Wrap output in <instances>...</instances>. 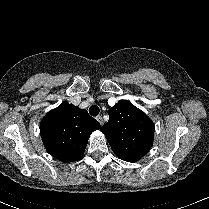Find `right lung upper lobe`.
<instances>
[{
  "label": "right lung upper lobe",
  "instance_id": "right-lung-upper-lobe-1",
  "mask_svg": "<svg viewBox=\"0 0 209 209\" xmlns=\"http://www.w3.org/2000/svg\"><path fill=\"white\" fill-rule=\"evenodd\" d=\"M98 129L100 124L86 110L62 103L43 118L40 134L49 154L68 163L82 157L90 134Z\"/></svg>",
  "mask_w": 209,
  "mask_h": 209
}]
</instances>
